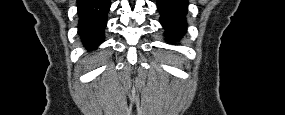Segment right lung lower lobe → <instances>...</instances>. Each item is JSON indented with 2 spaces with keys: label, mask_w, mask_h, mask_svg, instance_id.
I'll use <instances>...</instances> for the list:
<instances>
[{
  "label": "right lung lower lobe",
  "mask_w": 285,
  "mask_h": 115,
  "mask_svg": "<svg viewBox=\"0 0 285 115\" xmlns=\"http://www.w3.org/2000/svg\"><path fill=\"white\" fill-rule=\"evenodd\" d=\"M110 5L109 0H78V34L87 50H95L104 41Z\"/></svg>",
  "instance_id": "98d812e1"
}]
</instances>
